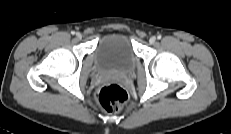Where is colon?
<instances>
[{
  "instance_id": "1",
  "label": "colon",
  "mask_w": 231,
  "mask_h": 134,
  "mask_svg": "<svg viewBox=\"0 0 231 134\" xmlns=\"http://www.w3.org/2000/svg\"><path fill=\"white\" fill-rule=\"evenodd\" d=\"M97 104L107 113L120 111L127 103L126 91L118 84L103 86L96 94Z\"/></svg>"
}]
</instances>
